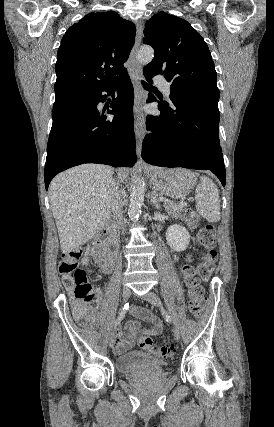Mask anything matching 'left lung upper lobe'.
I'll list each match as a JSON object with an SVG mask.
<instances>
[{
	"label": "left lung upper lobe",
	"mask_w": 274,
	"mask_h": 427,
	"mask_svg": "<svg viewBox=\"0 0 274 427\" xmlns=\"http://www.w3.org/2000/svg\"><path fill=\"white\" fill-rule=\"evenodd\" d=\"M143 42L155 56L144 74H163L173 95L219 100L217 76L209 48L202 36L185 20L165 12L145 24Z\"/></svg>",
	"instance_id": "left-lung-upper-lobe-1"
}]
</instances>
